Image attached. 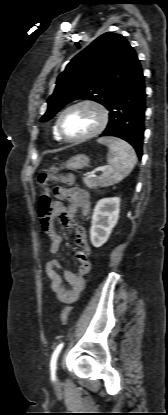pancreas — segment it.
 <instances>
[{
  "label": "pancreas",
  "mask_w": 168,
  "mask_h": 415,
  "mask_svg": "<svg viewBox=\"0 0 168 415\" xmlns=\"http://www.w3.org/2000/svg\"><path fill=\"white\" fill-rule=\"evenodd\" d=\"M83 182L85 183V185L88 188H91V189L95 188L98 185V181H97L96 178H91V177H88V176L83 178Z\"/></svg>",
  "instance_id": "1"
}]
</instances>
